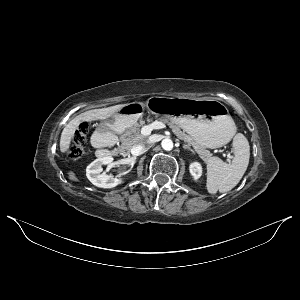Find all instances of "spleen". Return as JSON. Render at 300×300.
<instances>
[{
    "label": "spleen",
    "instance_id": "spleen-1",
    "mask_svg": "<svg viewBox=\"0 0 300 300\" xmlns=\"http://www.w3.org/2000/svg\"><path fill=\"white\" fill-rule=\"evenodd\" d=\"M234 158L227 164L218 157H212L207 163L206 187L210 194L224 193L233 189L247 170L250 158V146L242 133L233 139Z\"/></svg>",
    "mask_w": 300,
    "mask_h": 300
}]
</instances>
